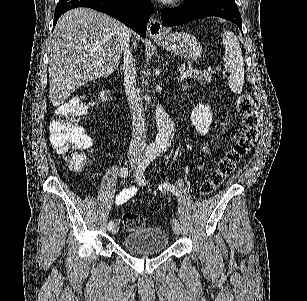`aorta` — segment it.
<instances>
[{"label":"aorta","instance_id":"obj_1","mask_svg":"<svg viewBox=\"0 0 307 301\" xmlns=\"http://www.w3.org/2000/svg\"><path fill=\"white\" fill-rule=\"evenodd\" d=\"M155 120L157 126V134L154 142H152L149 151L154 153H162L168 142L175 134V126L168 112L163 108L162 104H155Z\"/></svg>","mask_w":307,"mask_h":301}]
</instances>
